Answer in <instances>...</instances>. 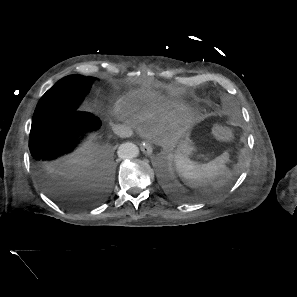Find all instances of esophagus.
Wrapping results in <instances>:
<instances>
[{
  "label": "esophagus",
  "mask_w": 297,
  "mask_h": 297,
  "mask_svg": "<svg viewBox=\"0 0 297 297\" xmlns=\"http://www.w3.org/2000/svg\"><path fill=\"white\" fill-rule=\"evenodd\" d=\"M140 148L144 154L146 155L152 154V146L149 140L142 141L140 143Z\"/></svg>",
  "instance_id": "obj_1"
}]
</instances>
